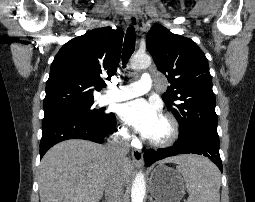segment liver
<instances>
[{
	"mask_svg": "<svg viewBox=\"0 0 255 202\" xmlns=\"http://www.w3.org/2000/svg\"><path fill=\"white\" fill-rule=\"evenodd\" d=\"M190 155L167 158L163 163L182 164ZM117 168L107 146L71 139L53 146L39 166L41 202H99L106 184ZM124 184L133 173L127 159L120 165Z\"/></svg>",
	"mask_w": 255,
	"mask_h": 202,
	"instance_id": "liver-1",
	"label": "liver"
}]
</instances>
